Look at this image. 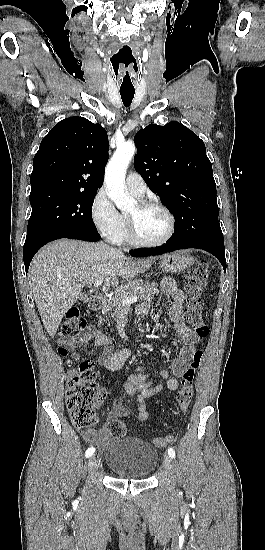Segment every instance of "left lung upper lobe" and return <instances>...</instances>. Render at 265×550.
<instances>
[{"instance_id": "1", "label": "left lung upper lobe", "mask_w": 265, "mask_h": 550, "mask_svg": "<svg viewBox=\"0 0 265 550\" xmlns=\"http://www.w3.org/2000/svg\"><path fill=\"white\" fill-rule=\"evenodd\" d=\"M135 170L173 213L168 242H198L224 249L216 184L204 142L179 122L155 124L135 136Z\"/></svg>"}]
</instances>
